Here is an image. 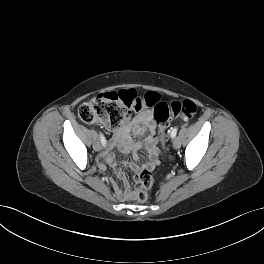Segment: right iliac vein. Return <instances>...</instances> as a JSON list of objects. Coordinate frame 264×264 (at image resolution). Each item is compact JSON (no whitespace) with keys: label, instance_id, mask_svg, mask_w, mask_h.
<instances>
[{"label":"right iliac vein","instance_id":"right-iliac-vein-1","mask_svg":"<svg viewBox=\"0 0 264 264\" xmlns=\"http://www.w3.org/2000/svg\"><path fill=\"white\" fill-rule=\"evenodd\" d=\"M94 149H95L96 151H99V150L101 149V144H100V142H95V143H94Z\"/></svg>","mask_w":264,"mask_h":264}]
</instances>
